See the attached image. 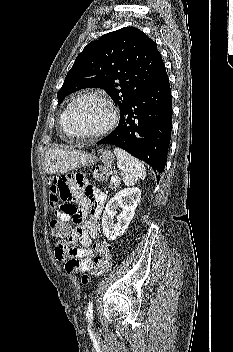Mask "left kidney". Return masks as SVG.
Instances as JSON below:
<instances>
[{
	"instance_id": "left-kidney-1",
	"label": "left kidney",
	"mask_w": 233,
	"mask_h": 352,
	"mask_svg": "<svg viewBox=\"0 0 233 352\" xmlns=\"http://www.w3.org/2000/svg\"><path fill=\"white\" fill-rule=\"evenodd\" d=\"M140 199L141 190L132 187L120 190L108 201L102 216L103 232L108 240L113 241L125 232L134 217ZM118 207L122 209L119 215L116 211ZM116 215L117 222L114 223Z\"/></svg>"
}]
</instances>
